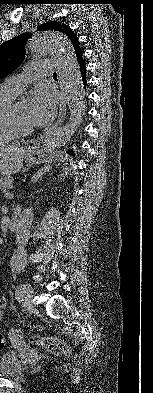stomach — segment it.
Returning <instances> with one entry per match:
<instances>
[{"label": "stomach", "instance_id": "1", "mask_svg": "<svg viewBox=\"0 0 153 393\" xmlns=\"http://www.w3.org/2000/svg\"><path fill=\"white\" fill-rule=\"evenodd\" d=\"M53 152L37 144L25 147L24 158L29 165H40L48 162Z\"/></svg>", "mask_w": 153, "mask_h": 393}]
</instances>
